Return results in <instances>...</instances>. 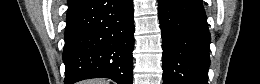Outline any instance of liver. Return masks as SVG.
Instances as JSON below:
<instances>
[{"label": "liver", "instance_id": "1", "mask_svg": "<svg viewBox=\"0 0 260 84\" xmlns=\"http://www.w3.org/2000/svg\"><path fill=\"white\" fill-rule=\"evenodd\" d=\"M83 84H109V81L105 79H92L85 81Z\"/></svg>", "mask_w": 260, "mask_h": 84}]
</instances>
